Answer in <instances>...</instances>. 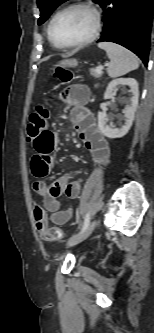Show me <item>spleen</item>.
<instances>
[{"mask_svg":"<svg viewBox=\"0 0 154 333\" xmlns=\"http://www.w3.org/2000/svg\"><path fill=\"white\" fill-rule=\"evenodd\" d=\"M98 47L105 50L110 59L107 73L111 78L125 75L139 67L138 57L118 44L101 42Z\"/></svg>","mask_w":154,"mask_h":333,"instance_id":"3e777b00","label":"spleen"}]
</instances>
